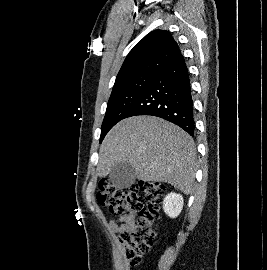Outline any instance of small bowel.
I'll return each mask as SVG.
<instances>
[{"instance_id":"1","label":"small bowel","mask_w":267,"mask_h":270,"mask_svg":"<svg viewBox=\"0 0 267 270\" xmlns=\"http://www.w3.org/2000/svg\"><path fill=\"white\" fill-rule=\"evenodd\" d=\"M135 220V215L133 213L126 214L110 222V229L114 232H120L121 230L127 228Z\"/></svg>"}]
</instances>
